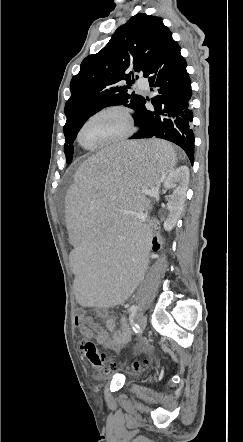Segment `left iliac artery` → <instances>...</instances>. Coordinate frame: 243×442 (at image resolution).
I'll use <instances>...</instances> for the list:
<instances>
[{
    "mask_svg": "<svg viewBox=\"0 0 243 442\" xmlns=\"http://www.w3.org/2000/svg\"><path fill=\"white\" fill-rule=\"evenodd\" d=\"M130 316L133 317L136 315L137 311H138V306L137 305H132L129 307L128 309ZM133 330L137 333L139 332V326L136 324L135 326H133Z\"/></svg>",
    "mask_w": 243,
    "mask_h": 442,
    "instance_id": "1",
    "label": "left iliac artery"
}]
</instances>
